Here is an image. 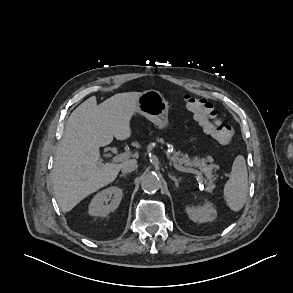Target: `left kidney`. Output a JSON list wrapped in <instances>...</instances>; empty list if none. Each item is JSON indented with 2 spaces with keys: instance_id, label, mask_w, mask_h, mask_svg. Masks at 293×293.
<instances>
[{
  "instance_id": "left-kidney-1",
  "label": "left kidney",
  "mask_w": 293,
  "mask_h": 293,
  "mask_svg": "<svg viewBox=\"0 0 293 293\" xmlns=\"http://www.w3.org/2000/svg\"><path fill=\"white\" fill-rule=\"evenodd\" d=\"M185 210L189 218L194 222H209L217 217V212L209 201H205L203 205L186 206Z\"/></svg>"
}]
</instances>
